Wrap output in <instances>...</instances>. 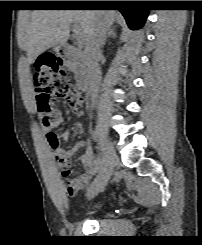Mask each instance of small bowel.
<instances>
[{"label": "small bowel", "instance_id": "1", "mask_svg": "<svg viewBox=\"0 0 202 245\" xmlns=\"http://www.w3.org/2000/svg\"><path fill=\"white\" fill-rule=\"evenodd\" d=\"M81 105L85 102V97L80 96ZM63 122L61 113L58 110L53 111V121L50 125H44V130L46 138L49 141L51 134L54 133L53 129L60 126ZM56 134V133H55ZM60 141H68L70 139L69 132L65 131L61 134H56ZM87 149L84 155L81 156L80 160L84 167V173L80 176L71 179V160L75 156V153L78 149V145L74 146L71 149H62L60 152L55 153V164L60 169V175L64 179L66 184L67 192L73 196L78 193L80 190L85 188L90 180L96 175L97 168L94 164L93 159V150L91 144L88 140L84 141Z\"/></svg>", "mask_w": 202, "mask_h": 245}]
</instances>
